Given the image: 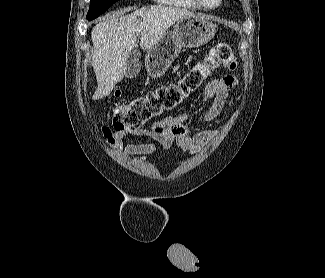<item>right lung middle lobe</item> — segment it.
<instances>
[{
  "instance_id": "obj_1",
  "label": "right lung middle lobe",
  "mask_w": 325,
  "mask_h": 278,
  "mask_svg": "<svg viewBox=\"0 0 325 278\" xmlns=\"http://www.w3.org/2000/svg\"><path fill=\"white\" fill-rule=\"evenodd\" d=\"M118 0H91L90 8L86 18L88 20H93L97 18L100 14L104 13L113 3Z\"/></svg>"
}]
</instances>
